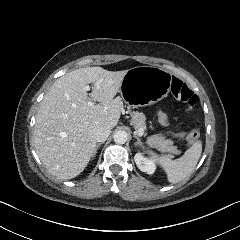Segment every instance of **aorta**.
<instances>
[{"label":"aorta","mask_w":240,"mask_h":240,"mask_svg":"<svg viewBox=\"0 0 240 240\" xmlns=\"http://www.w3.org/2000/svg\"><path fill=\"white\" fill-rule=\"evenodd\" d=\"M113 139L117 144H124L127 142L128 134L125 130H118L115 132Z\"/></svg>","instance_id":"obj_1"}]
</instances>
